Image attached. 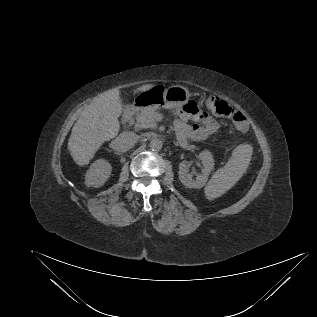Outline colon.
I'll list each match as a JSON object with an SVG mask.
<instances>
[{
	"label": "colon",
	"instance_id": "obj_1",
	"mask_svg": "<svg viewBox=\"0 0 317 317\" xmlns=\"http://www.w3.org/2000/svg\"><path fill=\"white\" fill-rule=\"evenodd\" d=\"M203 103L216 115L231 119L236 124L238 129H243L248 126L246 117L229 106L226 101L215 96H208L203 99ZM185 109L189 111L190 105H187Z\"/></svg>",
	"mask_w": 317,
	"mask_h": 317
}]
</instances>
